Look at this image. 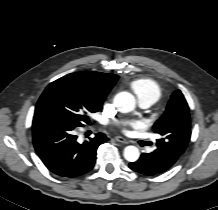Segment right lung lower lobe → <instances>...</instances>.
Wrapping results in <instances>:
<instances>
[{
    "label": "right lung lower lobe",
    "instance_id": "98d812e1",
    "mask_svg": "<svg viewBox=\"0 0 218 210\" xmlns=\"http://www.w3.org/2000/svg\"><path fill=\"white\" fill-rule=\"evenodd\" d=\"M69 120L49 115L34 116L32 123L33 144L44 165L54 174L73 178L90 171L96 161L99 145L107 140L98 133L82 144L77 142Z\"/></svg>",
    "mask_w": 218,
    "mask_h": 210
}]
</instances>
